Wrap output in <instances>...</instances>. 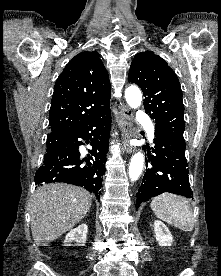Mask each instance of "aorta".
<instances>
[{
    "label": "aorta",
    "mask_w": 221,
    "mask_h": 276,
    "mask_svg": "<svg viewBox=\"0 0 221 276\" xmlns=\"http://www.w3.org/2000/svg\"><path fill=\"white\" fill-rule=\"evenodd\" d=\"M125 98L131 108H138L142 102V94L135 86H130L125 91ZM144 165V156L141 152L135 153L129 165V177L132 181H136L142 173Z\"/></svg>",
    "instance_id": "aorta-1"
}]
</instances>
